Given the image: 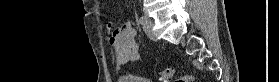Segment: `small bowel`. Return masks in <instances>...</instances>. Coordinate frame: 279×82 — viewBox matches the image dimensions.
Listing matches in <instances>:
<instances>
[{"instance_id":"1","label":"small bowel","mask_w":279,"mask_h":82,"mask_svg":"<svg viewBox=\"0 0 279 82\" xmlns=\"http://www.w3.org/2000/svg\"><path fill=\"white\" fill-rule=\"evenodd\" d=\"M106 28L110 31V41L115 48L114 58L118 64H126L137 61L140 58V50L134 39V31L130 23L112 29L111 24Z\"/></svg>"}]
</instances>
